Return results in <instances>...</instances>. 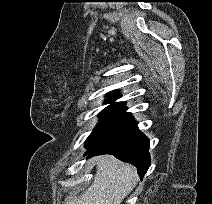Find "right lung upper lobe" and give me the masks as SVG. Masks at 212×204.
<instances>
[{
	"label": "right lung upper lobe",
	"instance_id": "obj_1",
	"mask_svg": "<svg viewBox=\"0 0 212 204\" xmlns=\"http://www.w3.org/2000/svg\"><path fill=\"white\" fill-rule=\"evenodd\" d=\"M118 97H119L118 95L113 94V95L111 96V99H107L106 101H114L115 98H118Z\"/></svg>",
	"mask_w": 212,
	"mask_h": 204
}]
</instances>
